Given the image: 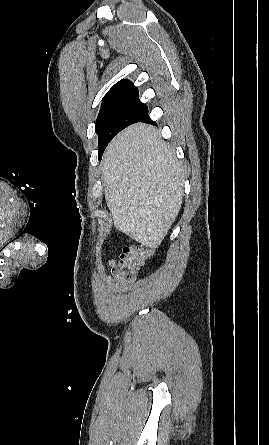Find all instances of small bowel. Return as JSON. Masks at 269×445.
<instances>
[{
	"label": "small bowel",
	"instance_id": "obj_1",
	"mask_svg": "<svg viewBox=\"0 0 269 445\" xmlns=\"http://www.w3.org/2000/svg\"><path fill=\"white\" fill-rule=\"evenodd\" d=\"M110 264H111V265H115V261H111ZM110 281H111V280H110V278L108 277V278H107V282L110 283Z\"/></svg>",
	"mask_w": 269,
	"mask_h": 445
}]
</instances>
